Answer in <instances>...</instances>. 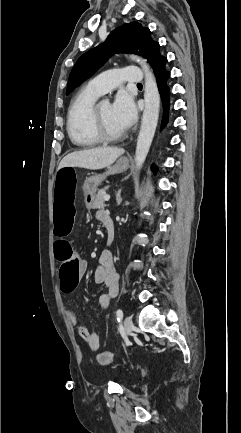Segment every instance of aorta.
<instances>
[{
  "instance_id": "1",
  "label": "aorta",
  "mask_w": 241,
  "mask_h": 433,
  "mask_svg": "<svg viewBox=\"0 0 241 433\" xmlns=\"http://www.w3.org/2000/svg\"><path fill=\"white\" fill-rule=\"evenodd\" d=\"M130 58L141 65L145 74V108L143 111L135 152L136 168L141 169L149 152L156 131L160 109V98L156 80L147 61L136 55H130Z\"/></svg>"
}]
</instances>
